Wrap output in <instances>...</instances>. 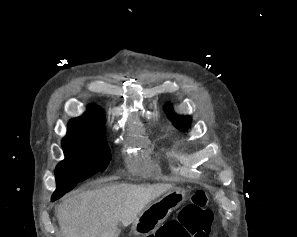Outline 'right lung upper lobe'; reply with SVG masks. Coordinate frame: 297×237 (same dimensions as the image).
Segmentation results:
<instances>
[{"mask_svg":"<svg viewBox=\"0 0 297 237\" xmlns=\"http://www.w3.org/2000/svg\"><path fill=\"white\" fill-rule=\"evenodd\" d=\"M104 114L98 106H88V111L69 122L68 130L99 131L104 128Z\"/></svg>","mask_w":297,"mask_h":237,"instance_id":"obj_1","label":"right lung upper lobe"}]
</instances>
